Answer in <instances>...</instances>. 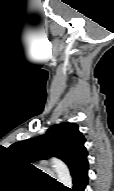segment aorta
<instances>
[{"mask_svg": "<svg viewBox=\"0 0 114 191\" xmlns=\"http://www.w3.org/2000/svg\"><path fill=\"white\" fill-rule=\"evenodd\" d=\"M51 165L57 174L58 181L64 186L71 188L73 185L72 177L67 165L57 158L51 159Z\"/></svg>", "mask_w": 114, "mask_h": 191, "instance_id": "762f6f07", "label": "aorta"}]
</instances>
